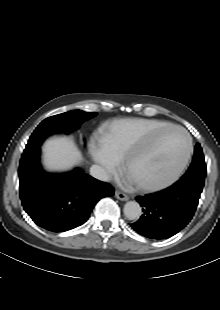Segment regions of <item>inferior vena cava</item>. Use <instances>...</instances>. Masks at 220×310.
<instances>
[{
	"instance_id": "obj_1",
	"label": "inferior vena cava",
	"mask_w": 220,
	"mask_h": 310,
	"mask_svg": "<svg viewBox=\"0 0 220 310\" xmlns=\"http://www.w3.org/2000/svg\"><path fill=\"white\" fill-rule=\"evenodd\" d=\"M90 174L94 178L101 180V181H109L110 179L108 172L99 165H92L90 168Z\"/></svg>"
}]
</instances>
